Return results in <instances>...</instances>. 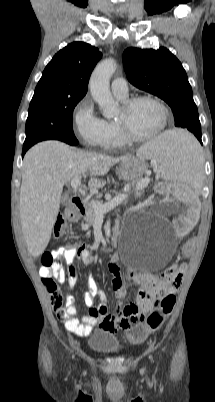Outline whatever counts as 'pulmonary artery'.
<instances>
[{
	"mask_svg": "<svg viewBox=\"0 0 215 402\" xmlns=\"http://www.w3.org/2000/svg\"><path fill=\"white\" fill-rule=\"evenodd\" d=\"M111 90L115 96L126 97L128 95V84L127 81L118 77L112 81Z\"/></svg>",
	"mask_w": 215,
	"mask_h": 402,
	"instance_id": "pulmonary-artery-1",
	"label": "pulmonary artery"
}]
</instances>
